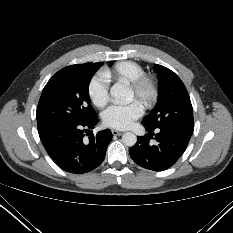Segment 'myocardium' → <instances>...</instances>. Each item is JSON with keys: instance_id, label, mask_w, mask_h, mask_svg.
<instances>
[{"instance_id": "myocardium-1", "label": "myocardium", "mask_w": 233, "mask_h": 233, "mask_svg": "<svg viewBox=\"0 0 233 233\" xmlns=\"http://www.w3.org/2000/svg\"><path fill=\"white\" fill-rule=\"evenodd\" d=\"M135 96L145 107L153 106L159 97V88L156 79L148 74H143L130 83Z\"/></svg>"}]
</instances>
